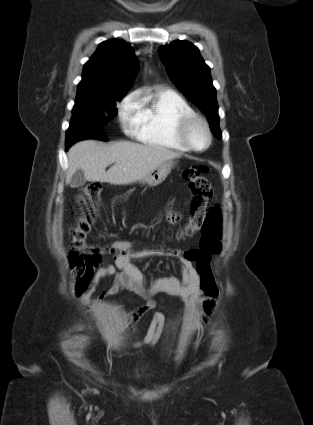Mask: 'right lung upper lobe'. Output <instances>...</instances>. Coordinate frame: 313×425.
I'll use <instances>...</instances> for the list:
<instances>
[{
    "label": "right lung upper lobe",
    "instance_id": "right-lung-upper-lobe-1",
    "mask_svg": "<svg viewBox=\"0 0 313 425\" xmlns=\"http://www.w3.org/2000/svg\"><path fill=\"white\" fill-rule=\"evenodd\" d=\"M138 71L131 45L122 40L102 42L84 65L76 100L127 93Z\"/></svg>",
    "mask_w": 313,
    "mask_h": 425
}]
</instances>
